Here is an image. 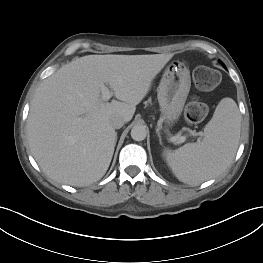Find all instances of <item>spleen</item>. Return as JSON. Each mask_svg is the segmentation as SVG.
<instances>
[{"instance_id":"obj_1","label":"spleen","mask_w":263,"mask_h":263,"mask_svg":"<svg viewBox=\"0 0 263 263\" xmlns=\"http://www.w3.org/2000/svg\"><path fill=\"white\" fill-rule=\"evenodd\" d=\"M240 122L235 101L223 98L205 126L201 142L188 143L174 151L165 149L163 156L178 180L197 185L224 171L238 148Z\"/></svg>"}]
</instances>
